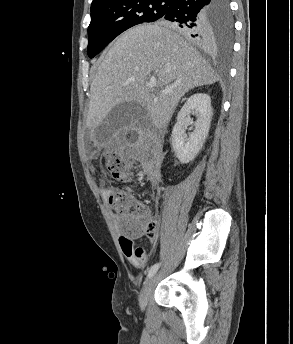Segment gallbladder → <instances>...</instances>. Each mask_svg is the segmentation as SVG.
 I'll return each mask as SVG.
<instances>
[{
  "label": "gallbladder",
  "mask_w": 293,
  "mask_h": 344,
  "mask_svg": "<svg viewBox=\"0 0 293 344\" xmlns=\"http://www.w3.org/2000/svg\"><path fill=\"white\" fill-rule=\"evenodd\" d=\"M146 110L135 102H123L114 106L94 131V140L98 145L107 144L119 130L131 126L140 119Z\"/></svg>",
  "instance_id": "gallbladder-1"
}]
</instances>
